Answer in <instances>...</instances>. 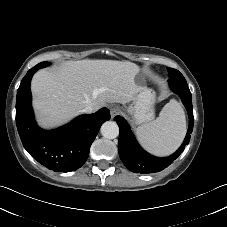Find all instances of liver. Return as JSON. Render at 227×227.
Instances as JSON below:
<instances>
[{"label": "liver", "mask_w": 227, "mask_h": 227, "mask_svg": "<svg viewBox=\"0 0 227 227\" xmlns=\"http://www.w3.org/2000/svg\"><path fill=\"white\" fill-rule=\"evenodd\" d=\"M138 65L130 61H65L52 69L39 70L31 90L38 123L44 128L61 126L92 105L126 104L140 91Z\"/></svg>", "instance_id": "liver-1"}]
</instances>
